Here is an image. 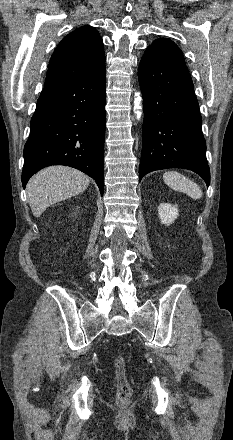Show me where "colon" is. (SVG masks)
Masks as SVG:
<instances>
[{
  "label": "colon",
  "instance_id": "1",
  "mask_svg": "<svg viewBox=\"0 0 233 440\" xmlns=\"http://www.w3.org/2000/svg\"><path fill=\"white\" fill-rule=\"evenodd\" d=\"M114 368L117 380L116 402L119 406H126L131 399L132 387L127 378L126 362L123 356H118L114 360Z\"/></svg>",
  "mask_w": 233,
  "mask_h": 440
}]
</instances>
